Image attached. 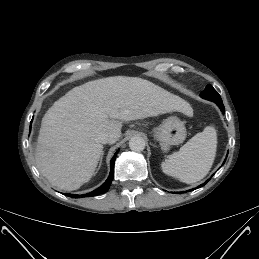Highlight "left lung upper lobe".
<instances>
[{
  "instance_id": "obj_1",
  "label": "left lung upper lobe",
  "mask_w": 259,
  "mask_h": 259,
  "mask_svg": "<svg viewBox=\"0 0 259 259\" xmlns=\"http://www.w3.org/2000/svg\"><path fill=\"white\" fill-rule=\"evenodd\" d=\"M201 97L213 102L222 100L220 95L211 85L206 87V89L201 93Z\"/></svg>"
}]
</instances>
